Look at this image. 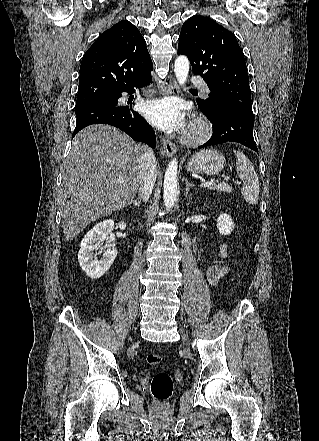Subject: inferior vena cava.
<instances>
[{"instance_id":"602c4592","label":"inferior vena cava","mask_w":319,"mask_h":441,"mask_svg":"<svg viewBox=\"0 0 319 441\" xmlns=\"http://www.w3.org/2000/svg\"><path fill=\"white\" fill-rule=\"evenodd\" d=\"M141 177L139 183V197L144 202L150 198L156 181V158L152 149L142 146Z\"/></svg>"}]
</instances>
